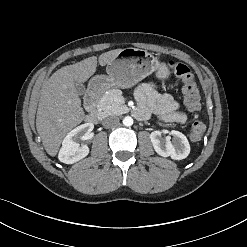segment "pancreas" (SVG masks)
I'll return each mask as SVG.
<instances>
[{
  "instance_id": "pancreas-1",
  "label": "pancreas",
  "mask_w": 247,
  "mask_h": 247,
  "mask_svg": "<svg viewBox=\"0 0 247 247\" xmlns=\"http://www.w3.org/2000/svg\"><path fill=\"white\" fill-rule=\"evenodd\" d=\"M121 97V91L118 89H110L98 102V110L103 115H120L126 106L117 102L115 99Z\"/></svg>"
}]
</instances>
